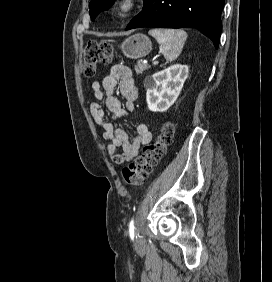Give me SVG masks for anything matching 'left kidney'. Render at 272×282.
Segmentation results:
<instances>
[{
	"instance_id": "obj_1",
	"label": "left kidney",
	"mask_w": 272,
	"mask_h": 282,
	"mask_svg": "<svg viewBox=\"0 0 272 282\" xmlns=\"http://www.w3.org/2000/svg\"><path fill=\"white\" fill-rule=\"evenodd\" d=\"M188 72L187 65L175 64L146 79L144 86L148 109L164 112L172 106L183 88Z\"/></svg>"
}]
</instances>
